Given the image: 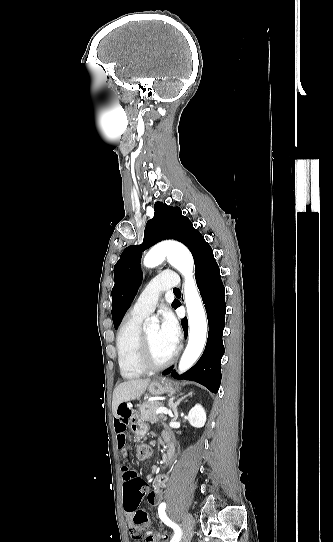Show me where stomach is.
Here are the masks:
<instances>
[{
    "label": "stomach",
    "instance_id": "1",
    "mask_svg": "<svg viewBox=\"0 0 333 542\" xmlns=\"http://www.w3.org/2000/svg\"><path fill=\"white\" fill-rule=\"evenodd\" d=\"M148 394L150 396H162V394H175V388L172 382L169 380H159V382H150L148 388ZM132 437L134 440L139 441L142 439L144 432L147 430L146 424L143 422H137L132 425Z\"/></svg>",
    "mask_w": 333,
    "mask_h": 542
}]
</instances>
